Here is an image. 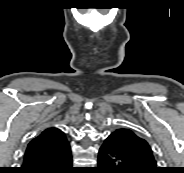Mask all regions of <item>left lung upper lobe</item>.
Listing matches in <instances>:
<instances>
[{"instance_id":"1","label":"left lung upper lobe","mask_w":184,"mask_h":173,"mask_svg":"<svg viewBox=\"0 0 184 173\" xmlns=\"http://www.w3.org/2000/svg\"><path fill=\"white\" fill-rule=\"evenodd\" d=\"M119 131L121 136L122 147L131 155L137 165L142 169H145L149 173H159V169L156 165L152 150L149 144L136 135L132 130L121 128Z\"/></svg>"}]
</instances>
